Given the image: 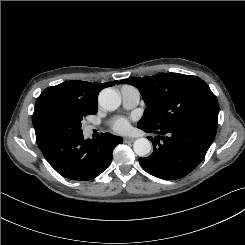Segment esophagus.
<instances>
[{"mask_svg": "<svg viewBox=\"0 0 245 245\" xmlns=\"http://www.w3.org/2000/svg\"><path fill=\"white\" fill-rule=\"evenodd\" d=\"M135 139L132 137H125L124 142H133Z\"/></svg>", "mask_w": 245, "mask_h": 245, "instance_id": "1", "label": "esophagus"}]
</instances>
